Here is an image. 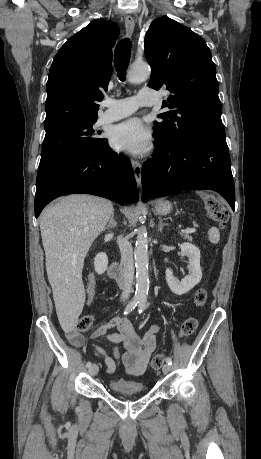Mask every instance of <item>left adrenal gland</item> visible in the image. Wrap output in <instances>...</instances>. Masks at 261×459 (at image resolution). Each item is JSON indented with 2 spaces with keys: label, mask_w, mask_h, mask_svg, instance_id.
Returning <instances> with one entry per match:
<instances>
[{
  "label": "left adrenal gland",
  "mask_w": 261,
  "mask_h": 459,
  "mask_svg": "<svg viewBox=\"0 0 261 459\" xmlns=\"http://www.w3.org/2000/svg\"><path fill=\"white\" fill-rule=\"evenodd\" d=\"M168 226L167 223L163 222V219L159 217V226H158V231L162 232L163 227Z\"/></svg>",
  "instance_id": "obj_1"
}]
</instances>
